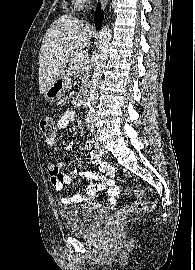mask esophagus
I'll use <instances>...</instances> for the list:
<instances>
[{"instance_id": "34e87169", "label": "esophagus", "mask_w": 195, "mask_h": 270, "mask_svg": "<svg viewBox=\"0 0 195 270\" xmlns=\"http://www.w3.org/2000/svg\"><path fill=\"white\" fill-rule=\"evenodd\" d=\"M108 3V0H101L102 8H105Z\"/></svg>"}]
</instances>
